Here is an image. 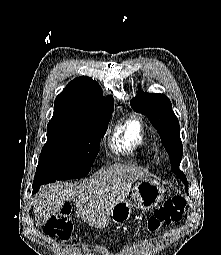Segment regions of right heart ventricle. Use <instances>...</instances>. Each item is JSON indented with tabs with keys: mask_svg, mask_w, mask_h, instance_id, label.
<instances>
[{
	"mask_svg": "<svg viewBox=\"0 0 221 255\" xmlns=\"http://www.w3.org/2000/svg\"><path fill=\"white\" fill-rule=\"evenodd\" d=\"M109 146L117 154L145 153L149 148V139L144 122L136 116L119 121L110 135Z\"/></svg>",
	"mask_w": 221,
	"mask_h": 255,
	"instance_id": "obj_1",
	"label": "right heart ventricle"
}]
</instances>
